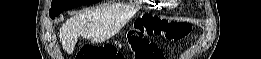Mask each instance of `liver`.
<instances>
[{"label": "liver", "instance_id": "liver-1", "mask_svg": "<svg viewBox=\"0 0 261 59\" xmlns=\"http://www.w3.org/2000/svg\"><path fill=\"white\" fill-rule=\"evenodd\" d=\"M127 18L113 8L102 5L74 15L60 28L63 49L72 54L79 36L95 42H103L124 26Z\"/></svg>", "mask_w": 261, "mask_h": 59}]
</instances>
